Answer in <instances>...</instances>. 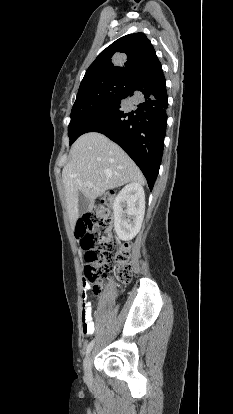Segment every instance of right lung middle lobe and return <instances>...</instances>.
<instances>
[{
  "label": "right lung middle lobe",
  "instance_id": "1",
  "mask_svg": "<svg viewBox=\"0 0 233 414\" xmlns=\"http://www.w3.org/2000/svg\"><path fill=\"white\" fill-rule=\"evenodd\" d=\"M131 85L129 80L103 78L79 88L68 127L70 145L79 137V129L88 117L121 97Z\"/></svg>",
  "mask_w": 233,
  "mask_h": 414
}]
</instances>
